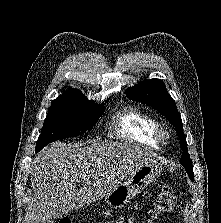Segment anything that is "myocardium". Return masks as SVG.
<instances>
[{
	"mask_svg": "<svg viewBox=\"0 0 221 223\" xmlns=\"http://www.w3.org/2000/svg\"><path fill=\"white\" fill-rule=\"evenodd\" d=\"M155 139L160 143H166L170 137L169 131L163 126L159 125L154 132Z\"/></svg>",
	"mask_w": 221,
	"mask_h": 223,
	"instance_id": "1",
	"label": "myocardium"
}]
</instances>
